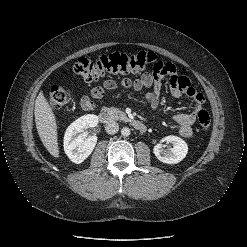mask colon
Instances as JSON below:
<instances>
[{
    "instance_id": "obj_1",
    "label": "colon",
    "mask_w": 247,
    "mask_h": 247,
    "mask_svg": "<svg viewBox=\"0 0 247 247\" xmlns=\"http://www.w3.org/2000/svg\"><path fill=\"white\" fill-rule=\"evenodd\" d=\"M149 66L154 73L160 75L167 71L169 63L158 61L155 54L140 51L133 54L114 52L92 58L91 56L79 57L73 64V71L88 82L96 81L108 74H127L141 71ZM70 101V92L61 85H54L49 94V104L58 109ZM200 127L206 129L211 124L210 114L200 110L197 114Z\"/></svg>"
}]
</instances>
